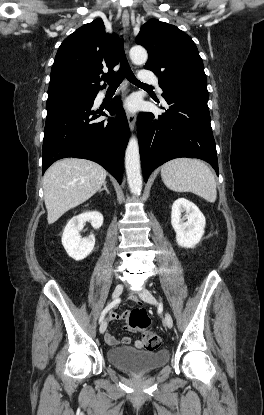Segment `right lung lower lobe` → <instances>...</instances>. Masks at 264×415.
Masks as SVG:
<instances>
[{
	"label": "right lung lower lobe",
	"mask_w": 264,
	"mask_h": 415,
	"mask_svg": "<svg viewBox=\"0 0 264 415\" xmlns=\"http://www.w3.org/2000/svg\"><path fill=\"white\" fill-rule=\"evenodd\" d=\"M96 95L84 101L46 107L43 173L61 158H84L99 163L121 183L124 152L129 140L128 121L117 98L107 107L111 114H117V118L97 121L101 114L92 109Z\"/></svg>",
	"instance_id": "obj_1"
}]
</instances>
